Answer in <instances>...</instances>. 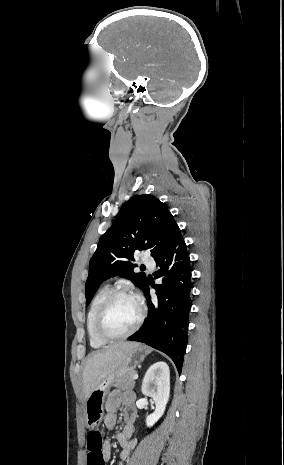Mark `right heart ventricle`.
Masks as SVG:
<instances>
[{
  "instance_id": "1",
  "label": "right heart ventricle",
  "mask_w": 284,
  "mask_h": 465,
  "mask_svg": "<svg viewBox=\"0 0 284 465\" xmlns=\"http://www.w3.org/2000/svg\"><path fill=\"white\" fill-rule=\"evenodd\" d=\"M111 290L109 286L101 287L93 296L91 303L89 305L87 316H86V332L87 338L90 346H106L107 343H104L97 339L94 333V320L96 314L104 302V300L110 295Z\"/></svg>"
}]
</instances>
